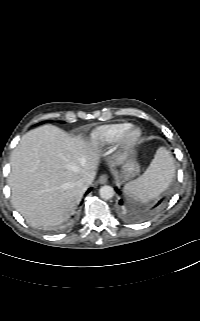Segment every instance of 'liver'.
Segmentation results:
<instances>
[{
	"instance_id": "obj_1",
	"label": "liver",
	"mask_w": 200,
	"mask_h": 321,
	"mask_svg": "<svg viewBox=\"0 0 200 321\" xmlns=\"http://www.w3.org/2000/svg\"><path fill=\"white\" fill-rule=\"evenodd\" d=\"M99 162L97 142L70 137L53 125L27 132L11 155L9 186L14 208L33 227L61 224L75 211Z\"/></svg>"
}]
</instances>
